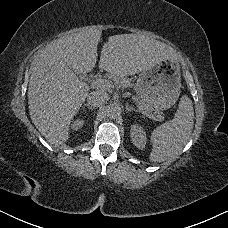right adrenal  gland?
<instances>
[{"instance_id":"obj_1","label":"right adrenal gland","mask_w":228,"mask_h":228,"mask_svg":"<svg viewBox=\"0 0 228 228\" xmlns=\"http://www.w3.org/2000/svg\"><path fill=\"white\" fill-rule=\"evenodd\" d=\"M86 107H87L91 112H93V111L96 109L95 107H91V106H89L88 104H85V105H84V110H83L84 113H87ZM92 115H93V114H92Z\"/></svg>"}]
</instances>
